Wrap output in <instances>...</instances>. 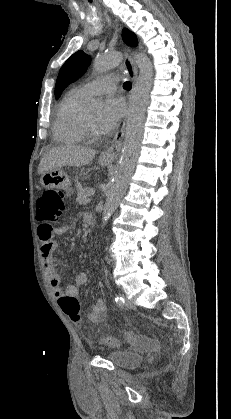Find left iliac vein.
<instances>
[{"label":"left iliac vein","mask_w":231,"mask_h":419,"mask_svg":"<svg viewBox=\"0 0 231 419\" xmlns=\"http://www.w3.org/2000/svg\"><path fill=\"white\" fill-rule=\"evenodd\" d=\"M123 297L125 298V306L129 309H134L135 308V304L130 301L126 295H123Z\"/></svg>","instance_id":"4c4485c4"}]
</instances>
